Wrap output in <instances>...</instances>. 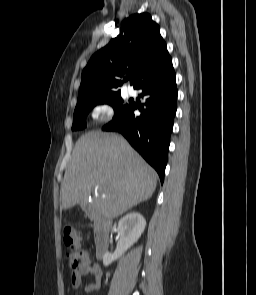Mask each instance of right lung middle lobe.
Returning <instances> with one entry per match:
<instances>
[{"instance_id":"1","label":"right lung middle lobe","mask_w":256,"mask_h":295,"mask_svg":"<svg viewBox=\"0 0 256 295\" xmlns=\"http://www.w3.org/2000/svg\"><path fill=\"white\" fill-rule=\"evenodd\" d=\"M98 104H109L113 107L115 116L123 113L131 104H124L120 94L105 98H84L77 101L74 111L72 130H81L86 127V116ZM114 116V117H115Z\"/></svg>"}]
</instances>
